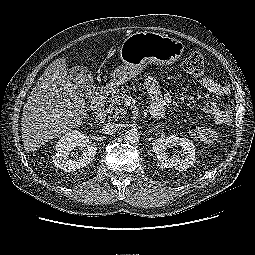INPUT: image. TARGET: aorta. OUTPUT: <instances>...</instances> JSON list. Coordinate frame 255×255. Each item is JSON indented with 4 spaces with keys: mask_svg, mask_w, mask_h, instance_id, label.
I'll use <instances>...</instances> for the list:
<instances>
[{
    "mask_svg": "<svg viewBox=\"0 0 255 255\" xmlns=\"http://www.w3.org/2000/svg\"><path fill=\"white\" fill-rule=\"evenodd\" d=\"M140 134L137 129H129L124 134V140L128 144H136L139 142Z\"/></svg>",
    "mask_w": 255,
    "mask_h": 255,
    "instance_id": "aorta-1",
    "label": "aorta"
}]
</instances>
